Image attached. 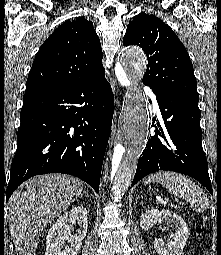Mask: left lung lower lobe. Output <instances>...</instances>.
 Returning a JSON list of instances; mask_svg holds the SVG:
<instances>
[{
    "mask_svg": "<svg viewBox=\"0 0 221 255\" xmlns=\"http://www.w3.org/2000/svg\"><path fill=\"white\" fill-rule=\"evenodd\" d=\"M155 95L164 122L153 125L155 131L138 160L132 186L150 173L169 170L195 178L212 194L207 160L201 146L198 106L162 94Z\"/></svg>",
    "mask_w": 221,
    "mask_h": 255,
    "instance_id": "left-lung-lower-lobe-1",
    "label": "left lung lower lobe"
}]
</instances>
